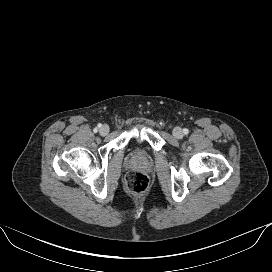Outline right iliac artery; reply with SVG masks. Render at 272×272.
Masks as SVG:
<instances>
[{
  "label": "right iliac artery",
  "instance_id": "right-iliac-artery-1",
  "mask_svg": "<svg viewBox=\"0 0 272 272\" xmlns=\"http://www.w3.org/2000/svg\"><path fill=\"white\" fill-rule=\"evenodd\" d=\"M98 127L100 128V127H101V124H98Z\"/></svg>",
  "mask_w": 272,
  "mask_h": 272
}]
</instances>
